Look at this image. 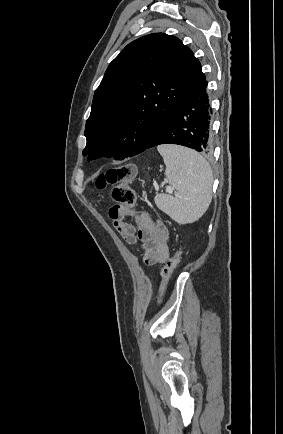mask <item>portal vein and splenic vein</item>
<instances>
[{
    "label": "portal vein and splenic vein",
    "instance_id": "obj_1",
    "mask_svg": "<svg viewBox=\"0 0 283 434\" xmlns=\"http://www.w3.org/2000/svg\"><path fill=\"white\" fill-rule=\"evenodd\" d=\"M167 190H171V187H167Z\"/></svg>",
    "mask_w": 283,
    "mask_h": 434
}]
</instances>
